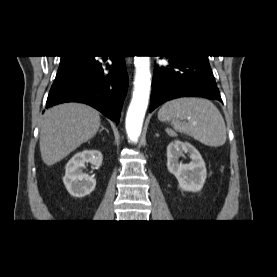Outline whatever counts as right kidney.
<instances>
[{"mask_svg": "<svg viewBox=\"0 0 277 277\" xmlns=\"http://www.w3.org/2000/svg\"><path fill=\"white\" fill-rule=\"evenodd\" d=\"M85 162L99 168L103 162L102 153L98 150H84L76 153L66 164L63 182L67 191L77 198L89 195L96 187V179L82 171Z\"/></svg>", "mask_w": 277, "mask_h": 277, "instance_id": "obj_1", "label": "right kidney"}]
</instances>
